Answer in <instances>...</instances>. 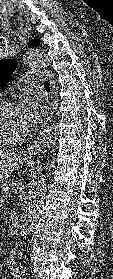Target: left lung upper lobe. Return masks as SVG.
<instances>
[{"label": "left lung upper lobe", "mask_w": 113, "mask_h": 279, "mask_svg": "<svg viewBox=\"0 0 113 279\" xmlns=\"http://www.w3.org/2000/svg\"><path fill=\"white\" fill-rule=\"evenodd\" d=\"M40 44V39H33L28 43V47H37ZM17 67V62L14 59L0 60V87H3L12 78L13 71Z\"/></svg>", "instance_id": "left-lung-upper-lobe-1"}]
</instances>
